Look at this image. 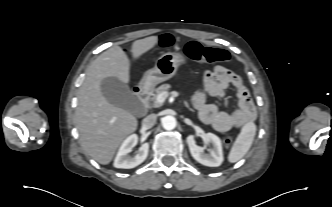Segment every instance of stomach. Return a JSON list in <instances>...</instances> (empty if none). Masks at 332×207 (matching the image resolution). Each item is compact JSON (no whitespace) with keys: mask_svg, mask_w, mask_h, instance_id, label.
Segmentation results:
<instances>
[{"mask_svg":"<svg viewBox=\"0 0 332 207\" xmlns=\"http://www.w3.org/2000/svg\"><path fill=\"white\" fill-rule=\"evenodd\" d=\"M185 63L186 58L181 53H165L156 60L152 69L144 73L139 86L143 90H152L157 84L172 78L179 66Z\"/></svg>","mask_w":332,"mask_h":207,"instance_id":"1","label":"stomach"}]
</instances>
